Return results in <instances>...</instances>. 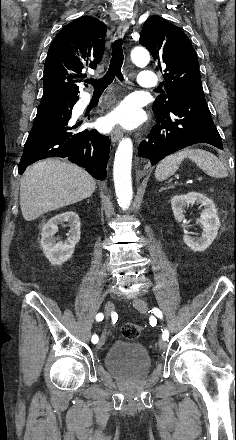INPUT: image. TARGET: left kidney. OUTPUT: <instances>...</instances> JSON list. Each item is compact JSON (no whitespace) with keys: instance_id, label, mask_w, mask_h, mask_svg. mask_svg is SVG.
<instances>
[{"instance_id":"left-kidney-1","label":"left kidney","mask_w":236,"mask_h":440,"mask_svg":"<svg viewBox=\"0 0 236 440\" xmlns=\"http://www.w3.org/2000/svg\"><path fill=\"white\" fill-rule=\"evenodd\" d=\"M194 203L204 207L200 219L196 221V223L202 227V234L200 237L195 238L186 232L183 241L191 250L201 252L212 244L221 224L213 201L205 195L196 192L172 197L171 206L175 220L177 222H183L185 220V208Z\"/></svg>"}]
</instances>
